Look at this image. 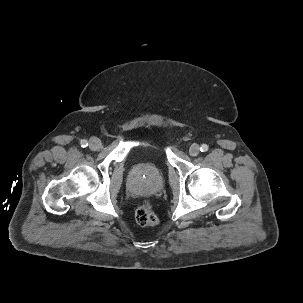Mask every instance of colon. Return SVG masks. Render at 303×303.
Returning a JSON list of instances; mask_svg holds the SVG:
<instances>
[{
    "label": "colon",
    "mask_w": 303,
    "mask_h": 303,
    "mask_svg": "<svg viewBox=\"0 0 303 303\" xmlns=\"http://www.w3.org/2000/svg\"><path fill=\"white\" fill-rule=\"evenodd\" d=\"M135 219L140 226L153 227L158 224V218L149 202L142 203L135 212Z\"/></svg>",
    "instance_id": "colon-1"
}]
</instances>
